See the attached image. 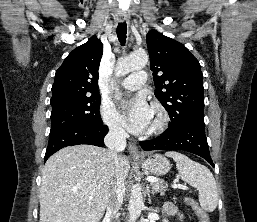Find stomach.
I'll return each instance as SVG.
<instances>
[{
  "label": "stomach",
  "mask_w": 257,
  "mask_h": 222,
  "mask_svg": "<svg viewBox=\"0 0 257 222\" xmlns=\"http://www.w3.org/2000/svg\"><path fill=\"white\" fill-rule=\"evenodd\" d=\"M142 167L156 176L165 175L170 170L168 159L160 154H154L147 159L136 160Z\"/></svg>",
  "instance_id": "obj_1"
}]
</instances>
